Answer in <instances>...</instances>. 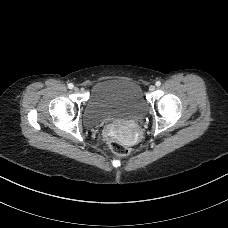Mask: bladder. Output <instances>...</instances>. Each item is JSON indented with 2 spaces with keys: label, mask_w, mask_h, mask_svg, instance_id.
I'll use <instances>...</instances> for the list:
<instances>
[{
  "label": "bladder",
  "mask_w": 228,
  "mask_h": 228,
  "mask_svg": "<svg viewBox=\"0 0 228 228\" xmlns=\"http://www.w3.org/2000/svg\"><path fill=\"white\" fill-rule=\"evenodd\" d=\"M147 100L141 86L129 79H109L92 89L83 111L88 127L114 120L134 119L147 112Z\"/></svg>",
  "instance_id": "31cf9c89"
}]
</instances>
